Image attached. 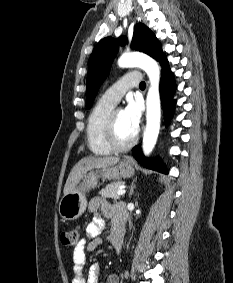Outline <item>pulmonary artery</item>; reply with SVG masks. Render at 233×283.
I'll return each instance as SVG.
<instances>
[{
	"label": "pulmonary artery",
	"mask_w": 233,
	"mask_h": 283,
	"mask_svg": "<svg viewBox=\"0 0 233 283\" xmlns=\"http://www.w3.org/2000/svg\"><path fill=\"white\" fill-rule=\"evenodd\" d=\"M140 79L141 76L136 71L125 74L118 82L103 93L101 99L116 105L127 90L139 85Z\"/></svg>",
	"instance_id": "obj_1"
}]
</instances>
